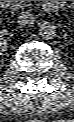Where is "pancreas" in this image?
<instances>
[{
  "label": "pancreas",
  "instance_id": "obj_1",
  "mask_svg": "<svg viewBox=\"0 0 74 122\" xmlns=\"http://www.w3.org/2000/svg\"><path fill=\"white\" fill-rule=\"evenodd\" d=\"M29 3H31V1H20V3L18 4L20 7L21 6H28L30 5Z\"/></svg>",
  "mask_w": 74,
  "mask_h": 122
}]
</instances>
